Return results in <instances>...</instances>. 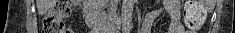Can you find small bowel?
I'll list each match as a JSON object with an SVG mask.
<instances>
[{
	"instance_id": "1",
	"label": "small bowel",
	"mask_w": 235,
	"mask_h": 33,
	"mask_svg": "<svg viewBox=\"0 0 235 33\" xmlns=\"http://www.w3.org/2000/svg\"><path fill=\"white\" fill-rule=\"evenodd\" d=\"M161 13L169 17L166 33H192L186 31L180 22L179 0H165L162 8L149 12L144 18L141 33H151V27Z\"/></svg>"
}]
</instances>
